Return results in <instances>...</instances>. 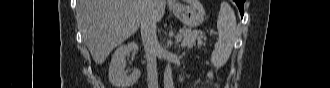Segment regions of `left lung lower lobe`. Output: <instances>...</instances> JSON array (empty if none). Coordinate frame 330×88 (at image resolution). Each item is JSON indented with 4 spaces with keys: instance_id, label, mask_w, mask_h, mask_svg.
<instances>
[{
    "instance_id": "left-lung-lower-lobe-1",
    "label": "left lung lower lobe",
    "mask_w": 330,
    "mask_h": 88,
    "mask_svg": "<svg viewBox=\"0 0 330 88\" xmlns=\"http://www.w3.org/2000/svg\"><path fill=\"white\" fill-rule=\"evenodd\" d=\"M240 10V14L241 16L243 17V5H244V2L245 0H234Z\"/></svg>"
}]
</instances>
